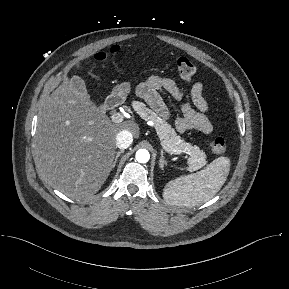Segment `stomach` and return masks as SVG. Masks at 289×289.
I'll return each mask as SVG.
<instances>
[{"label": "stomach", "instance_id": "obj_1", "mask_svg": "<svg viewBox=\"0 0 289 289\" xmlns=\"http://www.w3.org/2000/svg\"><path fill=\"white\" fill-rule=\"evenodd\" d=\"M131 90V85L129 82H123L118 85H116L113 88L112 94L114 96H117L121 99H125L127 95L130 93Z\"/></svg>", "mask_w": 289, "mask_h": 289}]
</instances>
